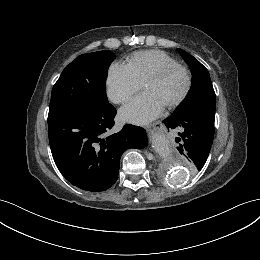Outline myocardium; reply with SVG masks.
<instances>
[{"label":"myocardium","mask_w":260,"mask_h":260,"mask_svg":"<svg viewBox=\"0 0 260 260\" xmlns=\"http://www.w3.org/2000/svg\"><path fill=\"white\" fill-rule=\"evenodd\" d=\"M176 71H182L185 74L186 86H185V89L183 90V92L180 94V96L165 107L168 110H172V109L178 107L190 93L191 88H192V74H191V71L189 70V68H187L186 66L181 65V64L166 66V67L160 69L159 71H157L156 73L152 74L151 76H149L143 83V86H145L150 83L160 82L163 79H165L168 75H170Z\"/></svg>","instance_id":"1"}]
</instances>
